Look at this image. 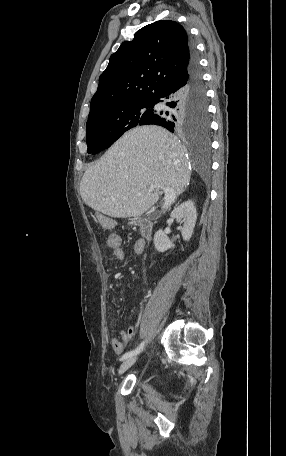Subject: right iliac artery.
<instances>
[{
  "label": "right iliac artery",
  "instance_id": "1",
  "mask_svg": "<svg viewBox=\"0 0 286 456\" xmlns=\"http://www.w3.org/2000/svg\"><path fill=\"white\" fill-rule=\"evenodd\" d=\"M143 347H144V342H142L137 348H135L134 350L132 351H129V352H126L122 357H121V361L125 360V359H128L132 356H135L137 355L138 353H140L142 350H143Z\"/></svg>",
  "mask_w": 286,
  "mask_h": 456
}]
</instances>
